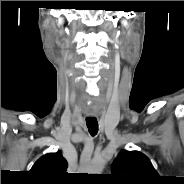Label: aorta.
<instances>
[{"instance_id":"762f6f07","label":"aorta","mask_w":184,"mask_h":184,"mask_svg":"<svg viewBox=\"0 0 184 184\" xmlns=\"http://www.w3.org/2000/svg\"><path fill=\"white\" fill-rule=\"evenodd\" d=\"M104 168L103 161H93L88 167L87 171L89 174H100Z\"/></svg>"}]
</instances>
